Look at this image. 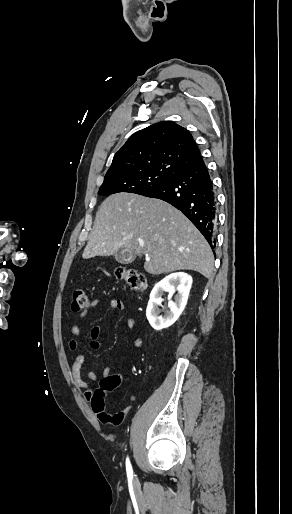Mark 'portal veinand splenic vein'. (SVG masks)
<instances>
[{
	"label": "portal vein and splenic vein",
	"instance_id": "portal-vein-and-splenic-vein-1",
	"mask_svg": "<svg viewBox=\"0 0 292 514\" xmlns=\"http://www.w3.org/2000/svg\"><path fill=\"white\" fill-rule=\"evenodd\" d=\"M130 238H131V236H130ZM141 246H143V244H141ZM146 260H148V258H146Z\"/></svg>",
	"mask_w": 292,
	"mask_h": 514
}]
</instances>
